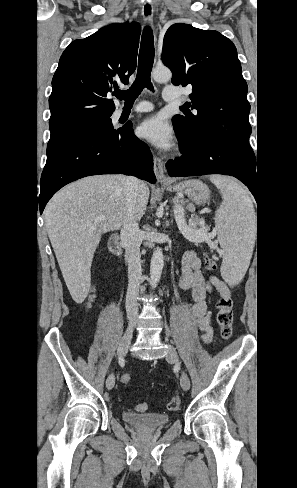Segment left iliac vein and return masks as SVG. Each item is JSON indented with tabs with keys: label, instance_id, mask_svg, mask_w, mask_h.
<instances>
[{
	"label": "left iliac vein",
	"instance_id": "left-iliac-vein-1",
	"mask_svg": "<svg viewBox=\"0 0 297 488\" xmlns=\"http://www.w3.org/2000/svg\"><path fill=\"white\" fill-rule=\"evenodd\" d=\"M166 360L170 363H177L178 362V354L175 348L167 344V350H166ZM180 384L181 387L184 391H187L190 388V379L187 375V373L182 372L181 377H180Z\"/></svg>",
	"mask_w": 297,
	"mask_h": 488
}]
</instances>
